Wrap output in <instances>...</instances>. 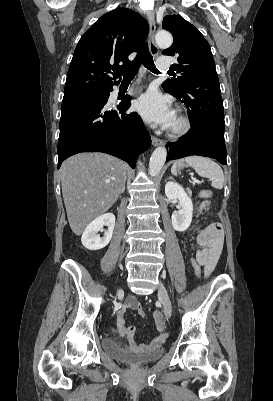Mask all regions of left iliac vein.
I'll list each match as a JSON object with an SVG mask.
<instances>
[{"mask_svg": "<svg viewBox=\"0 0 273 401\" xmlns=\"http://www.w3.org/2000/svg\"><path fill=\"white\" fill-rule=\"evenodd\" d=\"M158 297L162 302L165 315L167 317H171V315H172V303H171V300H170V298L168 296L167 290H166L165 286L162 283H160V286H159Z\"/></svg>", "mask_w": 273, "mask_h": 401, "instance_id": "left-iliac-vein-1", "label": "left iliac vein"}]
</instances>
